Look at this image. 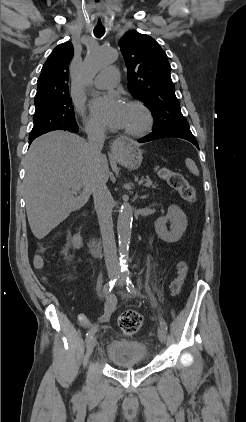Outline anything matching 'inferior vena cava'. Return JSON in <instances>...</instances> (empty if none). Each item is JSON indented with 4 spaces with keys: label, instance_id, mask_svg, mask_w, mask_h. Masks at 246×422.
<instances>
[{
    "label": "inferior vena cava",
    "instance_id": "602c4592",
    "mask_svg": "<svg viewBox=\"0 0 246 422\" xmlns=\"http://www.w3.org/2000/svg\"><path fill=\"white\" fill-rule=\"evenodd\" d=\"M88 147L91 154L99 160L105 141V130L101 126H90L87 129ZM106 178L98 173L92 184V193L95 209L98 215L104 257L109 272H119L120 266L117 257L116 243L112 221V197L106 186Z\"/></svg>",
    "mask_w": 246,
    "mask_h": 422
}]
</instances>
